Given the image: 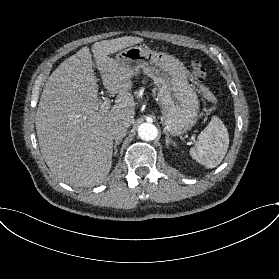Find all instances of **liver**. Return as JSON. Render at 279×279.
I'll use <instances>...</instances> for the list:
<instances>
[{
  "label": "liver",
  "instance_id": "6515ba94",
  "mask_svg": "<svg viewBox=\"0 0 279 279\" xmlns=\"http://www.w3.org/2000/svg\"><path fill=\"white\" fill-rule=\"evenodd\" d=\"M144 42L124 36L82 47L65 59L49 76L35 116L38 144L47 166L58 178L74 187L103 183L112 168L111 128L119 123L130 127L136 104L132 95L133 72L113 54ZM116 104L99 101V80ZM202 90L201 85L194 81Z\"/></svg>",
  "mask_w": 279,
  "mask_h": 279
}]
</instances>
